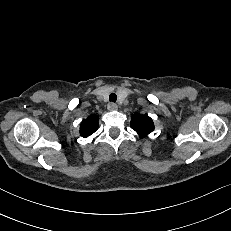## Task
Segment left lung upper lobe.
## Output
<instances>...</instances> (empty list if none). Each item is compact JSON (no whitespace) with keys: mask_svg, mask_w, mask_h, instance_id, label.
Returning a JSON list of instances; mask_svg holds the SVG:
<instances>
[{"mask_svg":"<svg viewBox=\"0 0 231 231\" xmlns=\"http://www.w3.org/2000/svg\"><path fill=\"white\" fill-rule=\"evenodd\" d=\"M130 125L141 136H145L154 130L153 121L148 115H140L138 113L133 115Z\"/></svg>","mask_w":231,"mask_h":231,"instance_id":"5c2ea615","label":"left lung upper lobe"}]
</instances>
